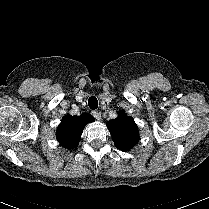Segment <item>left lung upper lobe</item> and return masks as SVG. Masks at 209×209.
Masks as SVG:
<instances>
[{
    "instance_id": "obj_1",
    "label": "left lung upper lobe",
    "mask_w": 209,
    "mask_h": 209,
    "mask_svg": "<svg viewBox=\"0 0 209 209\" xmlns=\"http://www.w3.org/2000/svg\"><path fill=\"white\" fill-rule=\"evenodd\" d=\"M106 125L116 147L122 151L130 150L139 141L137 125L124 111H120L118 117L108 121Z\"/></svg>"
}]
</instances>
